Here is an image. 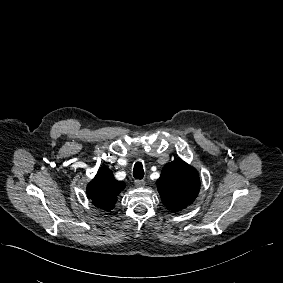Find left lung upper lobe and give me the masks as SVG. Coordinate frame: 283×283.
<instances>
[{
	"label": "left lung upper lobe",
	"instance_id": "5c2ea615",
	"mask_svg": "<svg viewBox=\"0 0 283 283\" xmlns=\"http://www.w3.org/2000/svg\"><path fill=\"white\" fill-rule=\"evenodd\" d=\"M163 203L176 212L192 204L200 189L198 172L180 158L164 165L157 180Z\"/></svg>",
	"mask_w": 283,
	"mask_h": 283
}]
</instances>
